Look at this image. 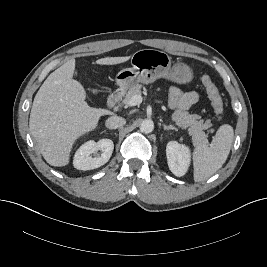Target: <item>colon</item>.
I'll return each instance as SVG.
<instances>
[{
  "label": "colon",
  "mask_w": 267,
  "mask_h": 267,
  "mask_svg": "<svg viewBox=\"0 0 267 267\" xmlns=\"http://www.w3.org/2000/svg\"><path fill=\"white\" fill-rule=\"evenodd\" d=\"M202 83L206 89V92L211 101L215 114L217 115L218 118H221L224 113V105L222 97L217 87L214 85L210 77L207 75H204L202 77Z\"/></svg>",
  "instance_id": "5ec220e1"
}]
</instances>
